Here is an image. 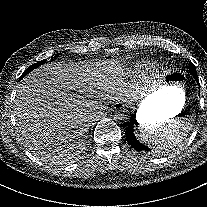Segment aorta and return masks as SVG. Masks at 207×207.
I'll list each match as a JSON object with an SVG mask.
<instances>
[{
  "label": "aorta",
  "instance_id": "762f6f07",
  "mask_svg": "<svg viewBox=\"0 0 207 207\" xmlns=\"http://www.w3.org/2000/svg\"><path fill=\"white\" fill-rule=\"evenodd\" d=\"M113 118L117 122H127L130 116L126 108H119L115 111Z\"/></svg>",
  "mask_w": 207,
  "mask_h": 207
}]
</instances>
